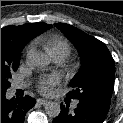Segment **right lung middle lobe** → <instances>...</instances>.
I'll return each mask as SVG.
<instances>
[{
    "label": "right lung middle lobe",
    "mask_w": 123,
    "mask_h": 123,
    "mask_svg": "<svg viewBox=\"0 0 123 123\" xmlns=\"http://www.w3.org/2000/svg\"><path fill=\"white\" fill-rule=\"evenodd\" d=\"M19 66V62L7 63L1 61V94H5L8 87H10L9 78L13 71H16Z\"/></svg>",
    "instance_id": "dd1d6c3e"
}]
</instances>
